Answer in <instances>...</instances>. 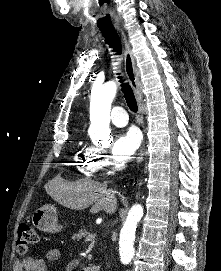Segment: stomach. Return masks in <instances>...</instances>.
<instances>
[{
  "mask_svg": "<svg viewBox=\"0 0 221 271\" xmlns=\"http://www.w3.org/2000/svg\"><path fill=\"white\" fill-rule=\"evenodd\" d=\"M32 223L43 231H60L61 225L57 223V209L54 205H43L36 209L32 215Z\"/></svg>",
  "mask_w": 221,
  "mask_h": 271,
  "instance_id": "1",
  "label": "stomach"
}]
</instances>
